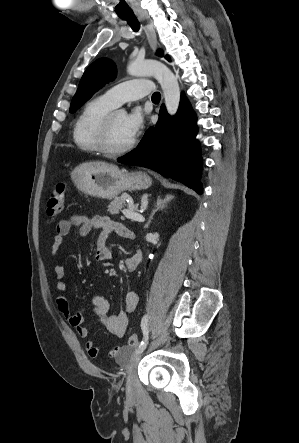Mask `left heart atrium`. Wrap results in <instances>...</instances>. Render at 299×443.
I'll list each match as a JSON object with an SVG mask.
<instances>
[{"label": "left heart atrium", "mask_w": 299, "mask_h": 443, "mask_svg": "<svg viewBox=\"0 0 299 443\" xmlns=\"http://www.w3.org/2000/svg\"><path fill=\"white\" fill-rule=\"evenodd\" d=\"M125 127L132 137H135L144 126V115L138 108L133 109L125 116Z\"/></svg>", "instance_id": "1"}]
</instances>
